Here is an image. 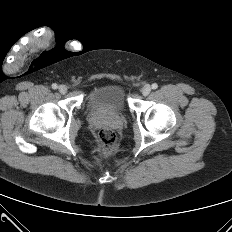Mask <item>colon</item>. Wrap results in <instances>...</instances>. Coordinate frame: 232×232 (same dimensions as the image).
<instances>
[{
  "mask_svg": "<svg viewBox=\"0 0 232 232\" xmlns=\"http://www.w3.org/2000/svg\"><path fill=\"white\" fill-rule=\"evenodd\" d=\"M98 140L105 155H111L116 150L117 136L110 128H102L98 132Z\"/></svg>",
  "mask_w": 232,
  "mask_h": 232,
  "instance_id": "1",
  "label": "colon"
}]
</instances>
